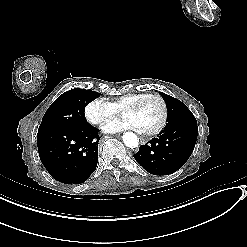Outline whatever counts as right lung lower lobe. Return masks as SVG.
<instances>
[{"label":"right lung lower lobe","mask_w":247,"mask_h":247,"mask_svg":"<svg viewBox=\"0 0 247 247\" xmlns=\"http://www.w3.org/2000/svg\"><path fill=\"white\" fill-rule=\"evenodd\" d=\"M98 132L88 124L38 133L39 157L49 174L65 184L85 182L97 166Z\"/></svg>","instance_id":"obj_1"}]
</instances>
